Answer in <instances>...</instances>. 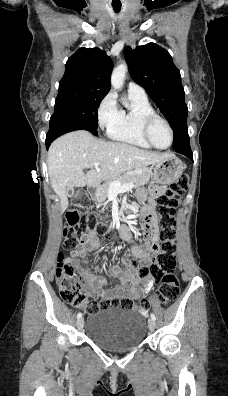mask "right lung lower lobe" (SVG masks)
<instances>
[{
	"instance_id": "right-lung-lower-lobe-1",
	"label": "right lung lower lobe",
	"mask_w": 228,
	"mask_h": 396,
	"mask_svg": "<svg viewBox=\"0 0 228 396\" xmlns=\"http://www.w3.org/2000/svg\"><path fill=\"white\" fill-rule=\"evenodd\" d=\"M79 130V127L62 121H50V129L46 135V148L48 149L53 140L67 132Z\"/></svg>"
}]
</instances>
